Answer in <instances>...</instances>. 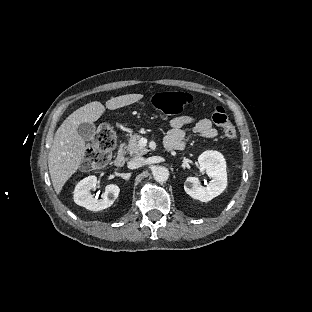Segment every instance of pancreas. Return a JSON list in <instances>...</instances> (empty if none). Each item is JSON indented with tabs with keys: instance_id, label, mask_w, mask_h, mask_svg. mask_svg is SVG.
<instances>
[{
	"instance_id": "1",
	"label": "pancreas",
	"mask_w": 312,
	"mask_h": 312,
	"mask_svg": "<svg viewBox=\"0 0 312 312\" xmlns=\"http://www.w3.org/2000/svg\"><path fill=\"white\" fill-rule=\"evenodd\" d=\"M141 139V136L138 134H134L130 136L128 146L126 148V153H128L130 156H141L148 152V149H146L144 146H141L139 144V141Z\"/></svg>"
}]
</instances>
